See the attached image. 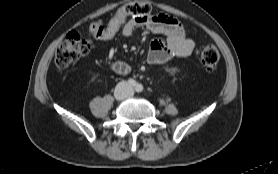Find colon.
Listing matches in <instances>:
<instances>
[{"mask_svg":"<svg viewBox=\"0 0 278 174\" xmlns=\"http://www.w3.org/2000/svg\"><path fill=\"white\" fill-rule=\"evenodd\" d=\"M150 6L144 1H129L119 8L116 14L107 22L95 21L90 25V32L99 39H111L118 32L122 23L128 18L150 13ZM178 31H185L179 20L172 21ZM92 48V41L80 33L72 31L56 50L55 64L64 69L86 56ZM220 53L216 46L207 45L201 51V64L207 71H213L219 62Z\"/></svg>","mask_w":278,"mask_h":174,"instance_id":"5ec220e1","label":"colon"}]
</instances>
